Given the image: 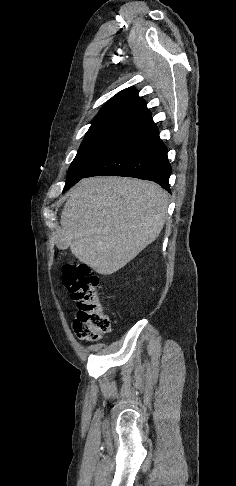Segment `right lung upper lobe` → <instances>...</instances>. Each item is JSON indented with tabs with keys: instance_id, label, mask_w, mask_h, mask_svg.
<instances>
[{
	"instance_id": "obj_1",
	"label": "right lung upper lobe",
	"mask_w": 236,
	"mask_h": 486,
	"mask_svg": "<svg viewBox=\"0 0 236 486\" xmlns=\"http://www.w3.org/2000/svg\"><path fill=\"white\" fill-rule=\"evenodd\" d=\"M149 117L151 113L145 101L130 87L117 93L101 108L88 131L116 125L140 126Z\"/></svg>"
}]
</instances>
